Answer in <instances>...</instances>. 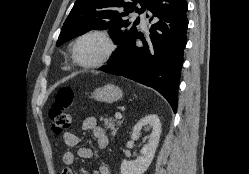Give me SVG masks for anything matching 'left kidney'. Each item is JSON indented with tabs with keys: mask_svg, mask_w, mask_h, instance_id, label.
Returning a JSON list of instances; mask_svg holds the SVG:
<instances>
[{
	"mask_svg": "<svg viewBox=\"0 0 249 174\" xmlns=\"http://www.w3.org/2000/svg\"><path fill=\"white\" fill-rule=\"evenodd\" d=\"M149 125L152 133L149 135L148 143L143 146L141 155L134 161L123 160L121 163V174H143L150 166L161 134V123L157 115L151 114L141 119L133 128L132 140L139 138L142 127Z\"/></svg>",
	"mask_w": 249,
	"mask_h": 174,
	"instance_id": "5707ae66",
	"label": "left kidney"
}]
</instances>
